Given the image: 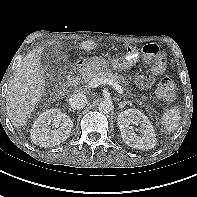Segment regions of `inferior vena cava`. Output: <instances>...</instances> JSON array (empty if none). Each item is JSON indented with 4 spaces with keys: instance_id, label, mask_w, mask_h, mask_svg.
Listing matches in <instances>:
<instances>
[{
    "instance_id": "602c4592",
    "label": "inferior vena cava",
    "mask_w": 197,
    "mask_h": 197,
    "mask_svg": "<svg viewBox=\"0 0 197 197\" xmlns=\"http://www.w3.org/2000/svg\"><path fill=\"white\" fill-rule=\"evenodd\" d=\"M87 104V97L83 93H76L70 96L69 105L73 110H79Z\"/></svg>"
}]
</instances>
